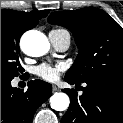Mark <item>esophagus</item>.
Segmentation results:
<instances>
[{
    "instance_id": "1",
    "label": "esophagus",
    "mask_w": 123,
    "mask_h": 123,
    "mask_svg": "<svg viewBox=\"0 0 123 123\" xmlns=\"http://www.w3.org/2000/svg\"><path fill=\"white\" fill-rule=\"evenodd\" d=\"M52 91H53V92H56V91H58V88H57V86L53 85V86H52Z\"/></svg>"
}]
</instances>
